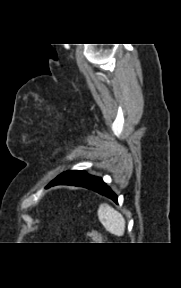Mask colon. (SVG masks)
Returning <instances> with one entry per match:
<instances>
[{
    "label": "colon",
    "mask_w": 181,
    "mask_h": 288,
    "mask_svg": "<svg viewBox=\"0 0 181 288\" xmlns=\"http://www.w3.org/2000/svg\"><path fill=\"white\" fill-rule=\"evenodd\" d=\"M87 237L88 239L92 240V241H97L100 240V234L95 231V230H91L87 233Z\"/></svg>",
    "instance_id": "1"
}]
</instances>
